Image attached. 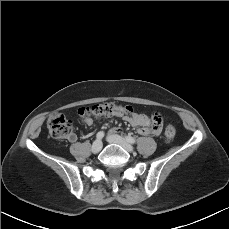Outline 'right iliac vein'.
Listing matches in <instances>:
<instances>
[{"instance_id":"right-iliac-vein-1","label":"right iliac vein","mask_w":229,"mask_h":229,"mask_svg":"<svg viewBox=\"0 0 229 229\" xmlns=\"http://www.w3.org/2000/svg\"><path fill=\"white\" fill-rule=\"evenodd\" d=\"M102 142L100 140H96L94 141V143L92 144V152L93 153H98L101 149H102Z\"/></svg>"}]
</instances>
